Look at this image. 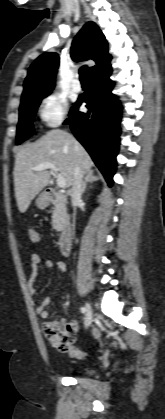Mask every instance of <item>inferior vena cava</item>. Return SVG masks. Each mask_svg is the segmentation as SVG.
Returning <instances> with one entry per match:
<instances>
[{
  "label": "inferior vena cava",
  "instance_id": "602c4592",
  "mask_svg": "<svg viewBox=\"0 0 165 419\" xmlns=\"http://www.w3.org/2000/svg\"><path fill=\"white\" fill-rule=\"evenodd\" d=\"M82 186H83V171L81 167L77 165L74 169L72 188L70 189V196H71V201H72L73 206H75V204L81 198Z\"/></svg>",
  "mask_w": 165,
  "mask_h": 419
}]
</instances>
